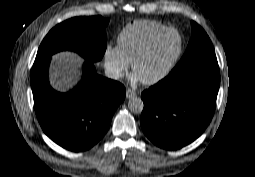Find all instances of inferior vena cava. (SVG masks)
Returning a JSON list of instances; mask_svg holds the SVG:
<instances>
[{"mask_svg":"<svg viewBox=\"0 0 255 177\" xmlns=\"http://www.w3.org/2000/svg\"><path fill=\"white\" fill-rule=\"evenodd\" d=\"M105 76L113 80H119L122 77V73L119 69L114 67H106Z\"/></svg>","mask_w":255,"mask_h":177,"instance_id":"obj_1","label":"inferior vena cava"}]
</instances>
